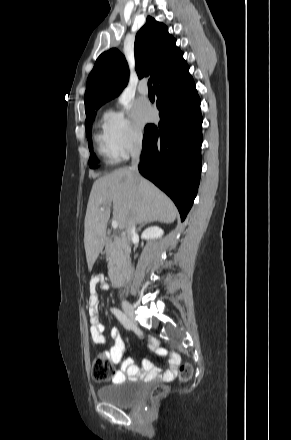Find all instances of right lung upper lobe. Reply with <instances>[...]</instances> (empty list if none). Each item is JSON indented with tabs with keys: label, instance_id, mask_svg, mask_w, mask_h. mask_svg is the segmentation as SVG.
I'll list each match as a JSON object with an SVG mask.
<instances>
[{
	"label": "right lung upper lobe",
	"instance_id": "cb5924a9",
	"mask_svg": "<svg viewBox=\"0 0 291 440\" xmlns=\"http://www.w3.org/2000/svg\"><path fill=\"white\" fill-rule=\"evenodd\" d=\"M167 27L148 16L135 38L134 53L139 77L150 75L154 86L187 66L183 53ZM129 68L115 48L102 53L88 76L85 92L86 113L115 98L127 85Z\"/></svg>",
	"mask_w": 291,
	"mask_h": 440
}]
</instances>
